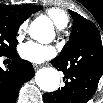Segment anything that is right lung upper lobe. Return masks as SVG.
I'll return each mask as SVG.
<instances>
[{
	"instance_id": "right-lung-upper-lobe-1",
	"label": "right lung upper lobe",
	"mask_w": 103,
	"mask_h": 103,
	"mask_svg": "<svg viewBox=\"0 0 103 103\" xmlns=\"http://www.w3.org/2000/svg\"><path fill=\"white\" fill-rule=\"evenodd\" d=\"M41 6L23 4V5H0V12L9 15L15 19L26 20L31 14L41 10Z\"/></svg>"
}]
</instances>
